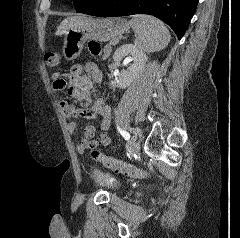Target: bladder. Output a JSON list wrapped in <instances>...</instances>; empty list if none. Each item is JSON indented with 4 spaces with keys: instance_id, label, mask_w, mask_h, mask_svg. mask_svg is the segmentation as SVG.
<instances>
[{
    "instance_id": "1",
    "label": "bladder",
    "mask_w": 240,
    "mask_h": 238,
    "mask_svg": "<svg viewBox=\"0 0 240 238\" xmlns=\"http://www.w3.org/2000/svg\"><path fill=\"white\" fill-rule=\"evenodd\" d=\"M89 174L95 180V182L100 185H104L110 189H115L118 186V180L114 176L102 172L95 167L90 166Z\"/></svg>"
}]
</instances>
